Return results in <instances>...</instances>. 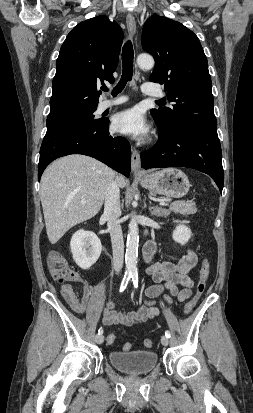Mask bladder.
Wrapping results in <instances>:
<instances>
[{
    "label": "bladder",
    "mask_w": 253,
    "mask_h": 413,
    "mask_svg": "<svg viewBox=\"0 0 253 413\" xmlns=\"http://www.w3.org/2000/svg\"><path fill=\"white\" fill-rule=\"evenodd\" d=\"M108 357L114 368L131 375L147 374L158 362L157 353L151 350L112 351Z\"/></svg>",
    "instance_id": "bladder-1"
}]
</instances>
